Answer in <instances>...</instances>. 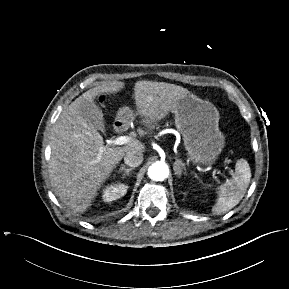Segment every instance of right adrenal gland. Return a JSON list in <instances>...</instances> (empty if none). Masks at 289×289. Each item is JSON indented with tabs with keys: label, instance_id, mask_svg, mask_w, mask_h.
I'll list each match as a JSON object with an SVG mask.
<instances>
[{
	"label": "right adrenal gland",
	"instance_id": "obj_1",
	"mask_svg": "<svg viewBox=\"0 0 289 289\" xmlns=\"http://www.w3.org/2000/svg\"><path fill=\"white\" fill-rule=\"evenodd\" d=\"M132 170H133V168H125V165L122 164L120 169H119V171H118V173L124 172L123 173L124 176H129L130 171H132Z\"/></svg>",
	"mask_w": 289,
	"mask_h": 289
}]
</instances>
